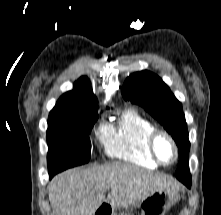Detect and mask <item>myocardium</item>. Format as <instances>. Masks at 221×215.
Instances as JSON below:
<instances>
[{
  "label": "myocardium",
  "instance_id": "obj_1",
  "mask_svg": "<svg viewBox=\"0 0 221 215\" xmlns=\"http://www.w3.org/2000/svg\"><path fill=\"white\" fill-rule=\"evenodd\" d=\"M160 140H165L171 148V157L169 160H164L160 156V153L158 151V143ZM147 144H148L149 153L157 164L161 166H169L177 160L178 157L177 145L173 137L168 132L164 130H154L150 134Z\"/></svg>",
  "mask_w": 221,
  "mask_h": 215
}]
</instances>
